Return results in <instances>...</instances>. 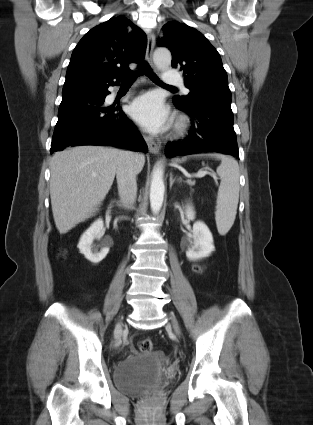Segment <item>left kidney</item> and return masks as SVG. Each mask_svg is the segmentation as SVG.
<instances>
[{"label":"left kidney","mask_w":313,"mask_h":425,"mask_svg":"<svg viewBox=\"0 0 313 425\" xmlns=\"http://www.w3.org/2000/svg\"><path fill=\"white\" fill-rule=\"evenodd\" d=\"M185 215L189 220L195 219V212L191 205L186 206ZM192 232L194 243L188 247L186 256L194 260L208 257L215 249L209 228L203 222L198 221L193 224Z\"/></svg>","instance_id":"5707ae66"}]
</instances>
